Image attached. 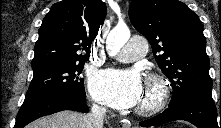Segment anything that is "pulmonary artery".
Segmentation results:
<instances>
[{
	"instance_id": "e3ab8cb5",
	"label": "pulmonary artery",
	"mask_w": 221,
	"mask_h": 128,
	"mask_svg": "<svg viewBox=\"0 0 221 128\" xmlns=\"http://www.w3.org/2000/svg\"><path fill=\"white\" fill-rule=\"evenodd\" d=\"M148 49L147 42L142 38H134L126 43L121 52L117 55L120 62H132L146 53Z\"/></svg>"
}]
</instances>
